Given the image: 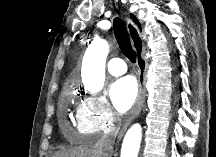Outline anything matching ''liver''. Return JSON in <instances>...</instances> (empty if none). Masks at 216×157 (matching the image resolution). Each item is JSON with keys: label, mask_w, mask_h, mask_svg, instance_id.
<instances>
[{"label": "liver", "mask_w": 216, "mask_h": 157, "mask_svg": "<svg viewBox=\"0 0 216 157\" xmlns=\"http://www.w3.org/2000/svg\"><path fill=\"white\" fill-rule=\"evenodd\" d=\"M54 157H98L95 147L80 146L57 152Z\"/></svg>", "instance_id": "obj_1"}]
</instances>
